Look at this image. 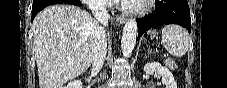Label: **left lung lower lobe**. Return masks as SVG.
Returning <instances> with one entry per match:
<instances>
[{
    "label": "left lung lower lobe",
    "instance_id": "obj_1",
    "mask_svg": "<svg viewBox=\"0 0 227 88\" xmlns=\"http://www.w3.org/2000/svg\"><path fill=\"white\" fill-rule=\"evenodd\" d=\"M190 9L187 0H156L153 13L137 20L138 37L154 26L178 24L190 33Z\"/></svg>",
    "mask_w": 227,
    "mask_h": 88
}]
</instances>
